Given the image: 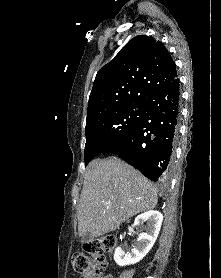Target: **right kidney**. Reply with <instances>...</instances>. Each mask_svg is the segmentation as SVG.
Segmentation results:
<instances>
[{"label":"right kidney","instance_id":"obj_1","mask_svg":"<svg viewBox=\"0 0 221 278\" xmlns=\"http://www.w3.org/2000/svg\"><path fill=\"white\" fill-rule=\"evenodd\" d=\"M162 221L163 215L159 211L152 210L137 216L134 224L138 226L146 222V231L140 233L131 251L125 253L120 247H117L114 252L115 262L119 266H126L142 260L153 247L159 234Z\"/></svg>","mask_w":221,"mask_h":278}]
</instances>
